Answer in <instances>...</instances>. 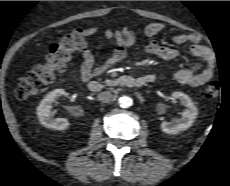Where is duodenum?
I'll use <instances>...</instances> for the list:
<instances>
[{"label":"duodenum","instance_id":"410a0bca","mask_svg":"<svg viewBox=\"0 0 230 186\" xmlns=\"http://www.w3.org/2000/svg\"><path fill=\"white\" fill-rule=\"evenodd\" d=\"M146 83L142 77H134L131 75H124L119 79V84L128 88H140ZM87 88L93 93H99L104 89L103 84L97 80H90L87 83Z\"/></svg>","mask_w":230,"mask_h":186}]
</instances>
